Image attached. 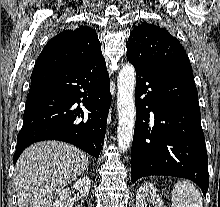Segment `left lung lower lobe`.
Here are the masks:
<instances>
[{
    "label": "left lung lower lobe",
    "mask_w": 220,
    "mask_h": 207,
    "mask_svg": "<svg viewBox=\"0 0 220 207\" xmlns=\"http://www.w3.org/2000/svg\"><path fill=\"white\" fill-rule=\"evenodd\" d=\"M127 59L136 70L131 182L149 175L183 177L194 181L206 197L208 156L192 72L156 71Z\"/></svg>",
    "instance_id": "0a47b994"
}]
</instances>
